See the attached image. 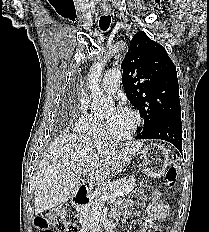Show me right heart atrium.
I'll use <instances>...</instances> for the list:
<instances>
[{
	"label": "right heart atrium",
	"instance_id": "d8ad5b80",
	"mask_svg": "<svg viewBox=\"0 0 209 232\" xmlns=\"http://www.w3.org/2000/svg\"><path fill=\"white\" fill-rule=\"evenodd\" d=\"M78 110H79L80 115H79V117L76 120L75 125H74L76 129H79L83 117L87 114V112H86L87 104H86V100L84 98L81 99Z\"/></svg>",
	"mask_w": 209,
	"mask_h": 232
}]
</instances>
